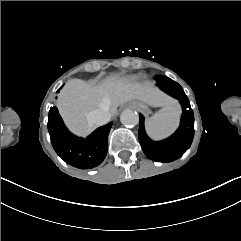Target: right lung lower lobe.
I'll use <instances>...</instances> for the list:
<instances>
[{
  "label": "right lung lower lobe",
  "instance_id": "1",
  "mask_svg": "<svg viewBox=\"0 0 241 241\" xmlns=\"http://www.w3.org/2000/svg\"><path fill=\"white\" fill-rule=\"evenodd\" d=\"M113 122L97 128L86 139L73 135L64 125L56 107L50 108L48 131L56 153L68 164L91 169L103 162L108 150V134Z\"/></svg>",
  "mask_w": 241,
  "mask_h": 241
}]
</instances>
